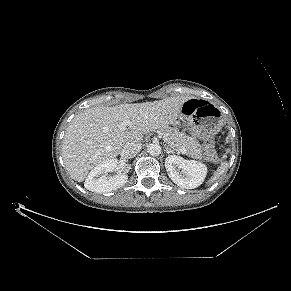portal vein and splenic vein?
I'll list each match as a JSON object with an SVG mask.
<instances>
[{"instance_id":"obj_1","label":"portal vein and splenic vein","mask_w":291,"mask_h":291,"mask_svg":"<svg viewBox=\"0 0 291 291\" xmlns=\"http://www.w3.org/2000/svg\"><path fill=\"white\" fill-rule=\"evenodd\" d=\"M128 126H130V121L129 120H125L121 123V125L119 126L121 130H125ZM182 154H186V149L181 147L179 150Z\"/></svg>"}]
</instances>
